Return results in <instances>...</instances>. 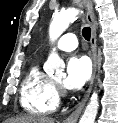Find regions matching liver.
<instances>
[{"instance_id":"liver-1","label":"liver","mask_w":118,"mask_h":123,"mask_svg":"<svg viewBox=\"0 0 118 123\" xmlns=\"http://www.w3.org/2000/svg\"><path fill=\"white\" fill-rule=\"evenodd\" d=\"M5 123H55V120L53 118L43 116L25 115L11 118Z\"/></svg>"}]
</instances>
